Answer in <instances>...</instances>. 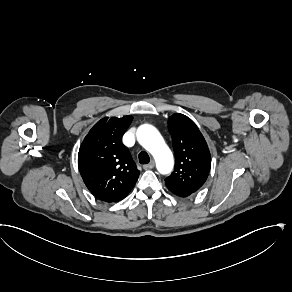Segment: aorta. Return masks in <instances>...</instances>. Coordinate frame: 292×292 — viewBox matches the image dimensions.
<instances>
[{"label":"aorta","mask_w":292,"mask_h":292,"mask_svg":"<svg viewBox=\"0 0 292 292\" xmlns=\"http://www.w3.org/2000/svg\"><path fill=\"white\" fill-rule=\"evenodd\" d=\"M141 145L153 156L157 169L169 173L173 168V154L158 130L151 125H142L137 131Z\"/></svg>","instance_id":"obj_1"}]
</instances>
